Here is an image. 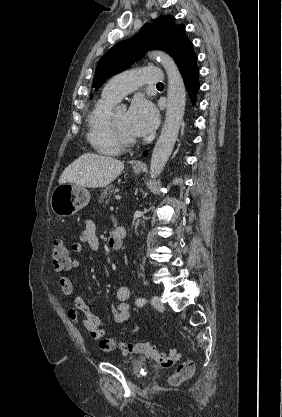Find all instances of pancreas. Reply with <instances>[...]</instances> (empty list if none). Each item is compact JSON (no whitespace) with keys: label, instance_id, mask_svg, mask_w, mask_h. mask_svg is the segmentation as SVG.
<instances>
[{"label":"pancreas","instance_id":"obj_1","mask_svg":"<svg viewBox=\"0 0 282 417\" xmlns=\"http://www.w3.org/2000/svg\"><path fill=\"white\" fill-rule=\"evenodd\" d=\"M115 192H118L117 188H115V184H109V186H105L104 190H102L100 194L99 202H104V198H106V196H109V194H115ZM106 202H108V198Z\"/></svg>","mask_w":282,"mask_h":417}]
</instances>
